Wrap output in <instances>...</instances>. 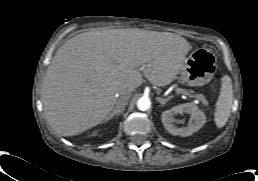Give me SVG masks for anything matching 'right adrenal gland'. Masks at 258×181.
<instances>
[{"instance_id": "right-adrenal-gland-1", "label": "right adrenal gland", "mask_w": 258, "mask_h": 181, "mask_svg": "<svg viewBox=\"0 0 258 181\" xmlns=\"http://www.w3.org/2000/svg\"><path fill=\"white\" fill-rule=\"evenodd\" d=\"M124 111V109H113V111L110 113V115L106 118V120L104 122H107L109 121L113 116H118L120 113H122Z\"/></svg>"}]
</instances>
